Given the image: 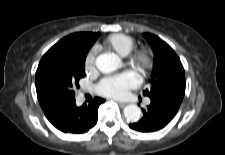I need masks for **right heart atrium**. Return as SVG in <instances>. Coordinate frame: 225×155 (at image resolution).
<instances>
[{
	"label": "right heart atrium",
	"mask_w": 225,
	"mask_h": 155,
	"mask_svg": "<svg viewBox=\"0 0 225 155\" xmlns=\"http://www.w3.org/2000/svg\"><path fill=\"white\" fill-rule=\"evenodd\" d=\"M95 62V51L92 50L88 53L86 60H85V68L87 70H91L94 67Z\"/></svg>",
	"instance_id": "obj_1"
}]
</instances>
